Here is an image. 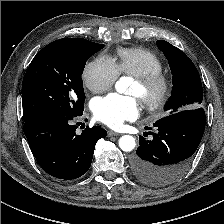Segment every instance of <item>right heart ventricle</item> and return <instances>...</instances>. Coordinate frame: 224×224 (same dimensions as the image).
<instances>
[{"label":"right heart ventricle","mask_w":224,"mask_h":224,"mask_svg":"<svg viewBox=\"0 0 224 224\" xmlns=\"http://www.w3.org/2000/svg\"><path fill=\"white\" fill-rule=\"evenodd\" d=\"M114 63L119 74L140 77L163 69L162 60L144 48H121Z\"/></svg>","instance_id":"e07e8e85"}]
</instances>
